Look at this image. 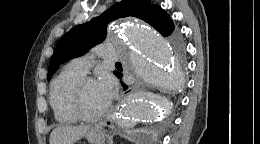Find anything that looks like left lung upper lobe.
<instances>
[{"label": "left lung upper lobe", "mask_w": 260, "mask_h": 144, "mask_svg": "<svg viewBox=\"0 0 260 144\" xmlns=\"http://www.w3.org/2000/svg\"><path fill=\"white\" fill-rule=\"evenodd\" d=\"M126 16L144 20L164 37L170 36L175 29L170 16L150 0H122L100 16L75 26L63 35L50 60L47 79L53 76L60 64L81 56L94 45L101 43L106 37L109 22ZM118 73L114 71L115 75Z\"/></svg>", "instance_id": "1"}]
</instances>
